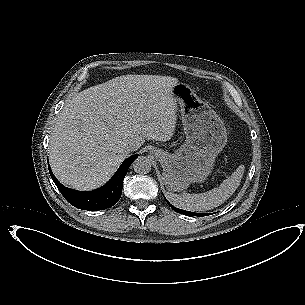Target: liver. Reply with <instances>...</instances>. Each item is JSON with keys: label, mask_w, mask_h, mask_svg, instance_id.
Here are the masks:
<instances>
[{"label": "liver", "mask_w": 305, "mask_h": 305, "mask_svg": "<svg viewBox=\"0 0 305 305\" xmlns=\"http://www.w3.org/2000/svg\"><path fill=\"white\" fill-rule=\"evenodd\" d=\"M177 83L176 78L160 77L156 87L170 96ZM150 91L143 81L122 76L75 94L50 137L49 160L57 179L77 190L99 188L128 156L126 144L140 148L145 139L169 140L175 111L155 107Z\"/></svg>", "instance_id": "6515ba94"}]
</instances>
